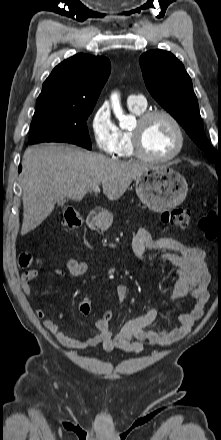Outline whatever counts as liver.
Returning <instances> with one entry per match:
<instances>
[{"label": "liver", "mask_w": 221, "mask_h": 440, "mask_svg": "<svg viewBox=\"0 0 221 440\" xmlns=\"http://www.w3.org/2000/svg\"><path fill=\"white\" fill-rule=\"evenodd\" d=\"M23 224L21 235L38 227L64 198L81 201L94 187L118 200L131 182L151 167L124 162L75 146L45 143L26 149L23 155Z\"/></svg>", "instance_id": "6515ba94"}]
</instances>
